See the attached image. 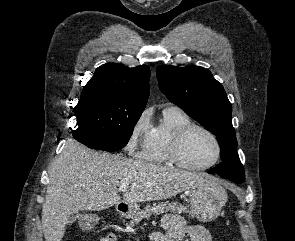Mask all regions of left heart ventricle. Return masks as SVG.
Segmentation results:
<instances>
[{
    "instance_id": "b2bd125f",
    "label": "left heart ventricle",
    "mask_w": 295,
    "mask_h": 241,
    "mask_svg": "<svg viewBox=\"0 0 295 241\" xmlns=\"http://www.w3.org/2000/svg\"><path fill=\"white\" fill-rule=\"evenodd\" d=\"M181 155L191 165H206L214 159L216 146L210 136L195 129L184 139L181 146Z\"/></svg>"
}]
</instances>
